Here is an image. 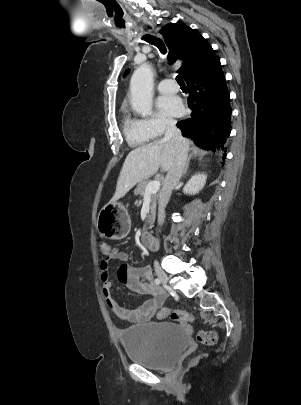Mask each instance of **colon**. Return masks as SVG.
<instances>
[{"instance_id": "5ec220e1", "label": "colon", "mask_w": 301, "mask_h": 405, "mask_svg": "<svg viewBox=\"0 0 301 405\" xmlns=\"http://www.w3.org/2000/svg\"><path fill=\"white\" fill-rule=\"evenodd\" d=\"M99 249L102 253V256L107 257L109 255L110 246L108 245L107 242L105 241L99 242ZM157 317L161 320L170 318L173 321L181 323H190L193 321V316L190 313L182 310H172L166 307L160 308V310L157 313ZM197 340L201 344L213 345L217 341V335L212 331H200L197 334Z\"/></svg>"}]
</instances>
